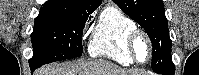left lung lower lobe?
Listing matches in <instances>:
<instances>
[{
    "mask_svg": "<svg viewBox=\"0 0 199 75\" xmlns=\"http://www.w3.org/2000/svg\"><path fill=\"white\" fill-rule=\"evenodd\" d=\"M174 71H175V67H173V68L170 69V70L160 71V72H158V73H159V74H162V75H174Z\"/></svg>",
    "mask_w": 199,
    "mask_h": 75,
    "instance_id": "1",
    "label": "left lung lower lobe"
}]
</instances>
